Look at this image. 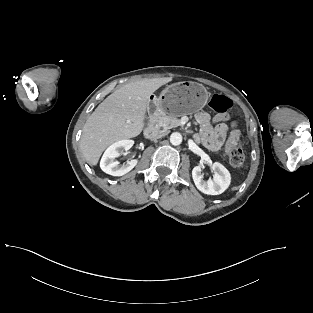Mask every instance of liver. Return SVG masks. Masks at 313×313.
<instances>
[{"label":"liver","instance_id":"6515ba94","mask_svg":"<svg viewBox=\"0 0 313 313\" xmlns=\"http://www.w3.org/2000/svg\"><path fill=\"white\" fill-rule=\"evenodd\" d=\"M170 81L171 77H163L130 82L98 105L84 124L80 140L81 151L89 165H97L110 144L142 132L150 96Z\"/></svg>","mask_w":313,"mask_h":313}]
</instances>
